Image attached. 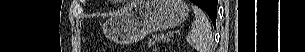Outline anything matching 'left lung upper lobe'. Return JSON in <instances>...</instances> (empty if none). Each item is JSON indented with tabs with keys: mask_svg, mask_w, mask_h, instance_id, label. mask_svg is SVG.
Returning <instances> with one entry per match:
<instances>
[{
	"mask_svg": "<svg viewBox=\"0 0 305 52\" xmlns=\"http://www.w3.org/2000/svg\"><path fill=\"white\" fill-rule=\"evenodd\" d=\"M199 2H201V0H198ZM210 17L213 19V18H217V13H210Z\"/></svg>",
	"mask_w": 305,
	"mask_h": 52,
	"instance_id": "obj_1",
	"label": "left lung upper lobe"
}]
</instances>
